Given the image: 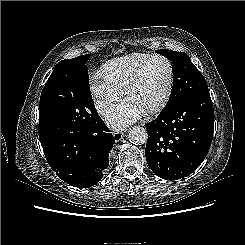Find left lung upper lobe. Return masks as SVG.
I'll return each mask as SVG.
<instances>
[{
    "label": "left lung upper lobe",
    "instance_id": "obj_1",
    "mask_svg": "<svg viewBox=\"0 0 245 245\" xmlns=\"http://www.w3.org/2000/svg\"><path fill=\"white\" fill-rule=\"evenodd\" d=\"M156 52L172 61L174 74L170 98L161 112L171 110L182 100L196 92L208 91L204 76L194 66L188 55L167 49L156 50Z\"/></svg>",
    "mask_w": 245,
    "mask_h": 245
}]
</instances>
